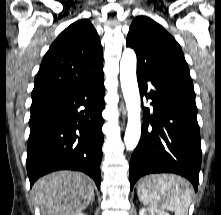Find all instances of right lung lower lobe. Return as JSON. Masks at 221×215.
Segmentation results:
<instances>
[{
  "mask_svg": "<svg viewBox=\"0 0 221 215\" xmlns=\"http://www.w3.org/2000/svg\"><path fill=\"white\" fill-rule=\"evenodd\" d=\"M104 94L102 75L96 81L31 108L26 160L30 186L47 173L69 169L85 172L100 188Z\"/></svg>",
  "mask_w": 221,
  "mask_h": 215,
  "instance_id": "98d812e1",
  "label": "right lung lower lobe"
}]
</instances>
